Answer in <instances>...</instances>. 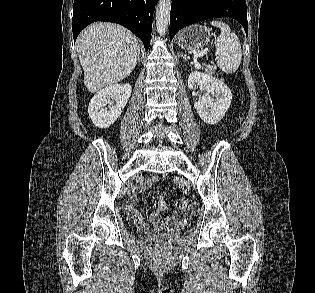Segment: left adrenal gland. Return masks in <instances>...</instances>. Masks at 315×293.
Segmentation results:
<instances>
[{"mask_svg":"<svg viewBox=\"0 0 315 293\" xmlns=\"http://www.w3.org/2000/svg\"><path fill=\"white\" fill-rule=\"evenodd\" d=\"M179 58L183 57L184 59H187V56L186 55H183L181 52H179Z\"/></svg>","mask_w":315,"mask_h":293,"instance_id":"left-adrenal-gland-1","label":"left adrenal gland"}]
</instances>
